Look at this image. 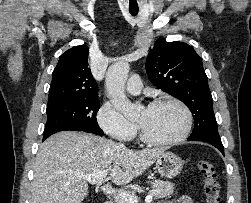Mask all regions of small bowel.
<instances>
[{"instance_id": "small-bowel-1", "label": "small bowel", "mask_w": 251, "mask_h": 203, "mask_svg": "<svg viewBox=\"0 0 251 203\" xmlns=\"http://www.w3.org/2000/svg\"><path fill=\"white\" fill-rule=\"evenodd\" d=\"M160 203H194L190 197L183 196L178 199H173L168 202H160Z\"/></svg>"}]
</instances>
